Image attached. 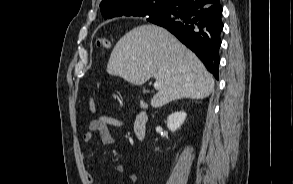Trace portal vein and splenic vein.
I'll return each mask as SVG.
<instances>
[{"label": "portal vein and splenic vein", "mask_w": 293, "mask_h": 184, "mask_svg": "<svg viewBox=\"0 0 293 184\" xmlns=\"http://www.w3.org/2000/svg\"><path fill=\"white\" fill-rule=\"evenodd\" d=\"M154 88H155V89H159V88H160V82L156 81V82L154 83Z\"/></svg>", "instance_id": "1"}]
</instances>
